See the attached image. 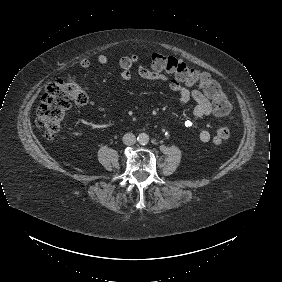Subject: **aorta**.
Wrapping results in <instances>:
<instances>
[{"instance_id":"1","label":"aorta","mask_w":282,"mask_h":282,"mask_svg":"<svg viewBox=\"0 0 282 282\" xmlns=\"http://www.w3.org/2000/svg\"><path fill=\"white\" fill-rule=\"evenodd\" d=\"M149 139H150L149 135L145 132H141L137 136V142L140 145H147L149 143Z\"/></svg>"}]
</instances>
